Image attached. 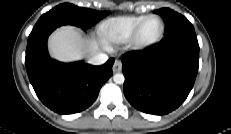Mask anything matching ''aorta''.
I'll return each instance as SVG.
<instances>
[{"label": "aorta", "mask_w": 231, "mask_h": 134, "mask_svg": "<svg viewBox=\"0 0 231 134\" xmlns=\"http://www.w3.org/2000/svg\"><path fill=\"white\" fill-rule=\"evenodd\" d=\"M124 75L121 74V73H117L113 76V81L116 83V84H123L124 83Z\"/></svg>", "instance_id": "1"}]
</instances>
